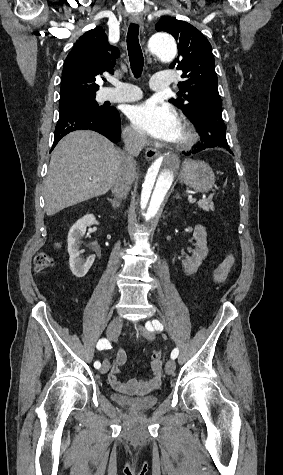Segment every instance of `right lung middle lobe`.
Listing matches in <instances>:
<instances>
[{
	"instance_id": "right-lung-middle-lobe-1",
	"label": "right lung middle lobe",
	"mask_w": 283,
	"mask_h": 475,
	"mask_svg": "<svg viewBox=\"0 0 283 475\" xmlns=\"http://www.w3.org/2000/svg\"><path fill=\"white\" fill-rule=\"evenodd\" d=\"M95 93L79 90H67L60 92L59 110L74 106L87 107L99 114H105L108 108L99 106L95 101Z\"/></svg>"
}]
</instances>
